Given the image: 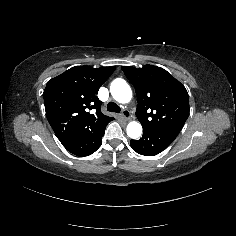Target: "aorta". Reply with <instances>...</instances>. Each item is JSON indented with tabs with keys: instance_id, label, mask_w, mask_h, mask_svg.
I'll list each match as a JSON object with an SVG mask.
<instances>
[{
	"instance_id": "762f6f07",
	"label": "aorta",
	"mask_w": 236,
	"mask_h": 236,
	"mask_svg": "<svg viewBox=\"0 0 236 236\" xmlns=\"http://www.w3.org/2000/svg\"><path fill=\"white\" fill-rule=\"evenodd\" d=\"M110 93L120 103H127L132 97L131 88L124 80H120L117 84L111 83ZM126 132L129 138L138 139L142 135V126L137 122H131L128 124Z\"/></svg>"
}]
</instances>
